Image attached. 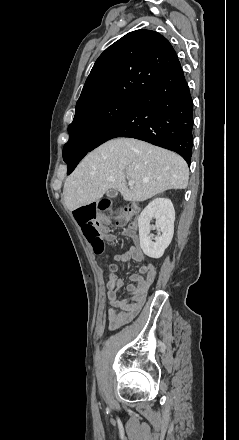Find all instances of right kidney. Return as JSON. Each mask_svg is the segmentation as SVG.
<instances>
[{
    "instance_id": "1",
    "label": "right kidney",
    "mask_w": 239,
    "mask_h": 440,
    "mask_svg": "<svg viewBox=\"0 0 239 440\" xmlns=\"http://www.w3.org/2000/svg\"><path fill=\"white\" fill-rule=\"evenodd\" d=\"M151 220H156V226H151ZM175 210L171 200L155 198L152 200L138 218L139 238L145 257L160 258L159 253H164L165 248H170L174 234ZM156 228L160 236H150L151 230Z\"/></svg>"
}]
</instances>
